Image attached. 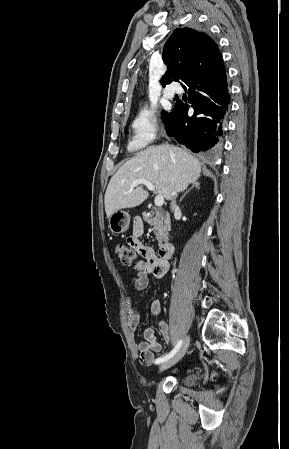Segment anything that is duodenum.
Here are the masks:
<instances>
[{
  "label": "duodenum",
  "instance_id": "duodenum-1",
  "mask_svg": "<svg viewBox=\"0 0 289 449\" xmlns=\"http://www.w3.org/2000/svg\"><path fill=\"white\" fill-rule=\"evenodd\" d=\"M174 246L172 243L166 242L159 247V255L163 260H168L173 255Z\"/></svg>",
  "mask_w": 289,
  "mask_h": 449
}]
</instances>
